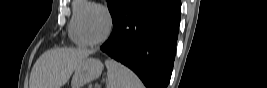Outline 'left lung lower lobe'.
Listing matches in <instances>:
<instances>
[{
	"mask_svg": "<svg viewBox=\"0 0 267 88\" xmlns=\"http://www.w3.org/2000/svg\"><path fill=\"white\" fill-rule=\"evenodd\" d=\"M179 0H129L101 50L132 69L147 88H166L175 59Z\"/></svg>",
	"mask_w": 267,
	"mask_h": 88,
	"instance_id": "0a47b994",
	"label": "left lung lower lobe"
}]
</instances>
